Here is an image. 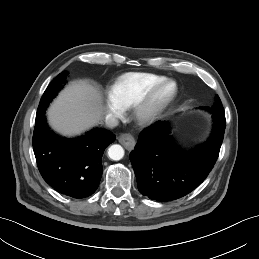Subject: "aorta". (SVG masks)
<instances>
[{"mask_svg":"<svg viewBox=\"0 0 259 259\" xmlns=\"http://www.w3.org/2000/svg\"><path fill=\"white\" fill-rule=\"evenodd\" d=\"M108 156L112 160H120L124 156V149L122 148L121 145L115 144L109 147L108 149Z\"/></svg>","mask_w":259,"mask_h":259,"instance_id":"aorta-1","label":"aorta"}]
</instances>
